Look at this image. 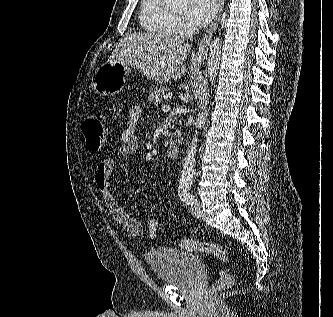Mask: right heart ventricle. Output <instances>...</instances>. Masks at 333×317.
Wrapping results in <instances>:
<instances>
[{
    "label": "right heart ventricle",
    "mask_w": 333,
    "mask_h": 317,
    "mask_svg": "<svg viewBox=\"0 0 333 317\" xmlns=\"http://www.w3.org/2000/svg\"><path fill=\"white\" fill-rule=\"evenodd\" d=\"M140 25L146 32L162 38L178 36L177 18L164 0H141Z\"/></svg>",
    "instance_id": "obj_1"
}]
</instances>
